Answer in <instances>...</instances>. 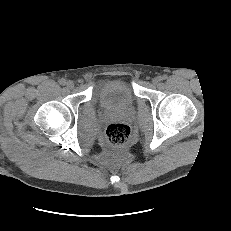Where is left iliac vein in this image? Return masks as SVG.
I'll return each mask as SVG.
<instances>
[{
    "label": "left iliac vein",
    "mask_w": 231,
    "mask_h": 231,
    "mask_svg": "<svg viewBox=\"0 0 231 231\" xmlns=\"http://www.w3.org/2000/svg\"><path fill=\"white\" fill-rule=\"evenodd\" d=\"M159 81H160V78H159V77H155V78L152 79V83H153L154 85L158 84Z\"/></svg>",
    "instance_id": "left-iliac-vein-1"
}]
</instances>
